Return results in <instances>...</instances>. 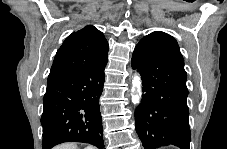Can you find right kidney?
Returning <instances> with one entry per match:
<instances>
[{"mask_svg":"<svg viewBox=\"0 0 227 149\" xmlns=\"http://www.w3.org/2000/svg\"><path fill=\"white\" fill-rule=\"evenodd\" d=\"M88 149H93V147H88Z\"/></svg>","mask_w":227,"mask_h":149,"instance_id":"obj_1","label":"right kidney"}]
</instances>
